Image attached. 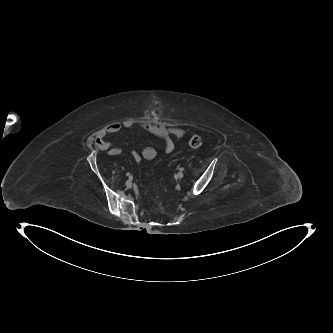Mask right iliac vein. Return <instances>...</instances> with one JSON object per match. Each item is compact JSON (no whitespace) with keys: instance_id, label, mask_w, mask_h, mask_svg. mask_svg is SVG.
Masks as SVG:
<instances>
[{"instance_id":"obj_1","label":"right iliac vein","mask_w":333,"mask_h":333,"mask_svg":"<svg viewBox=\"0 0 333 333\" xmlns=\"http://www.w3.org/2000/svg\"><path fill=\"white\" fill-rule=\"evenodd\" d=\"M126 186H127L128 188H131V187L133 186L132 181H131V180H127V181H126Z\"/></svg>"}]
</instances>
